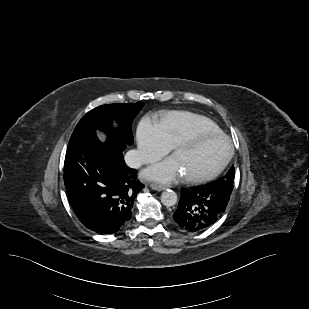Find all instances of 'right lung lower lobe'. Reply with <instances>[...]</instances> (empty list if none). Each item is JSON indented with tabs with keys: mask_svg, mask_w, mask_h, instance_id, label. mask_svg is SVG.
<instances>
[{
	"mask_svg": "<svg viewBox=\"0 0 309 309\" xmlns=\"http://www.w3.org/2000/svg\"><path fill=\"white\" fill-rule=\"evenodd\" d=\"M126 144L110 135L105 143L95 131L71 137L65 157L64 183L70 204L90 230L113 234L131 219L133 202L144 185L129 168L122 151Z\"/></svg>",
	"mask_w": 309,
	"mask_h": 309,
	"instance_id": "obj_1",
	"label": "right lung lower lobe"
}]
</instances>
